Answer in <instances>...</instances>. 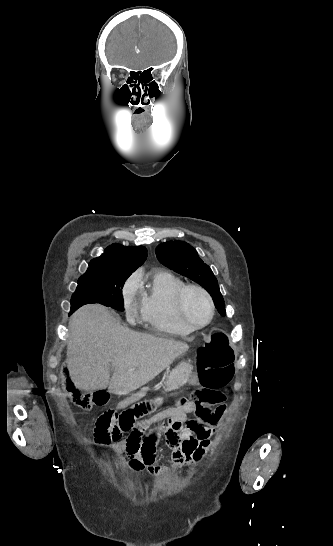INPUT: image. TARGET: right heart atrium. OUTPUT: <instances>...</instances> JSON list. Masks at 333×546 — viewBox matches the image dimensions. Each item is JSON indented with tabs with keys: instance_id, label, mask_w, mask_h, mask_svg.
<instances>
[{
	"instance_id": "1",
	"label": "right heart atrium",
	"mask_w": 333,
	"mask_h": 546,
	"mask_svg": "<svg viewBox=\"0 0 333 546\" xmlns=\"http://www.w3.org/2000/svg\"><path fill=\"white\" fill-rule=\"evenodd\" d=\"M137 286H138V277L137 275L131 276L124 284L122 295H123V306L126 313V317L129 320H134L138 314V303H137Z\"/></svg>"
}]
</instances>
